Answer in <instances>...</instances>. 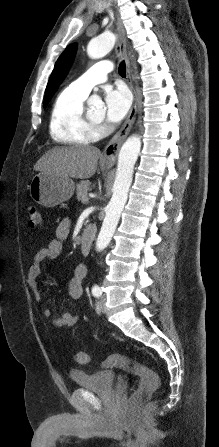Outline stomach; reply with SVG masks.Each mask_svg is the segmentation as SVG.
Masks as SVG:
<instances>
[{"instance_id":"stomach-1","label":"stomach","mask_w":219,"mask_h":447,"mask_svg":"<svg viewBox=\"0 0 219 447\" xmlns=\"http://www.w3.org/2000/svg\"><path fill=\"white\" fill-rule=\"evenodd\" d=\"M110 167L109 162H104ZM75 190V184L69 177H62L52 172L41 171L33 176L29 185L31 198L45 207H55L69 200Z\"/></svg>"}]
</instances>
